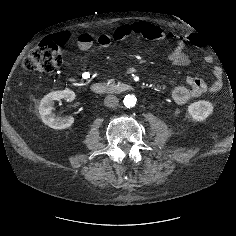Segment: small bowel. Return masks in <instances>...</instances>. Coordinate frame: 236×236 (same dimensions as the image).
Segmentation results:
<instances>
[{"label": "small bowel", "instance_id": "small-bowel-1", "mask_svg": "<svg viewBox=\"0 0 236 236\" xmlns=\"http://www.w3.org/2000/svg\"><path fill=\"white\" fill-rule=\"evenodd\" d=\"M130 35H141L152 40H172L175 42L174 48L169 52L168 59L175 66H185L190 63V57L185 52L186 43L189 41L193 44H198V37L194 34L177 35L174 33L165 32L161 27L148 22H134L131 24H123L115 29L112 34H102L95 37L93 34L84 32L78 35V48L82 51L89 50L93 44L97 43V51L102 52L112 41H120ZM64 44L69 40L68 32H60L56 35ZM214 81L207 85L198 77H188L186 79L187 86L174 87L171 96L174 102L178 105H183L193 98L202 96L208 90L216 93L223 86L222 71L216 67L213 70Z\"/></svg>", "mask_w": 236, "mask_h": 236}]
</instances>
